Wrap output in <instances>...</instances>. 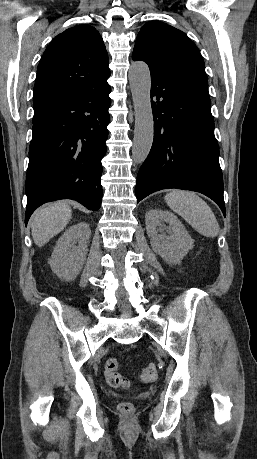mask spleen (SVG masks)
<instances>
[{"label":"spleen","instance_id":"1","mask_svg":"<svg viewBox=\"0 0 257 459\" xmlns=\"http://www.w3.org/2000/svg\"><path fill=\"white\" fill-rule=\"evenodd\" d=\"M167 205L182 216L197 232L214 238L218 235L219 224L208 204L193 192L172 190L164 197Z\"/></svg>","mask_w":257,"mask_h":459}]
</instances>
